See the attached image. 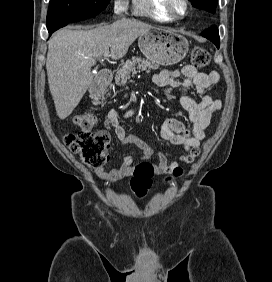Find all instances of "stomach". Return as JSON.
Segmentation results:
<instances>
[{
    "label": "stomach",
    "mask_w": 272,
    "mask_h": 282,
    "mask_svg": "<svg viewBox=\"0 0 272 282\" xmlns=\"http://www.w3.org/2000/svg\"><path fill=\"white\" fill-rule=\"evenodd\" d=\"M138 46L149 60L164 66L180 62L189 50L183 35L164 27H153L141 34Z\"/></svg>",
    "instance_id": "obj_1"
}]
</instances>
